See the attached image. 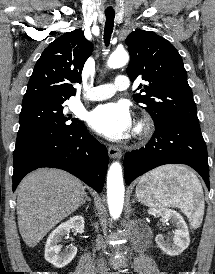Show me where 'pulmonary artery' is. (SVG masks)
Here are the masks:
<instances>
[{
	"instance_id": "obj_1",
	"label": "pulmonary artery",
	"mask_w": 215,
	"mask_h": 274,
	"mask_svg": "<svg viewBox=\"0 0 215 274\" xmlns=\"http://www.w3.org/2000/svg\"><path fill=\"white\" fill-rule=\"evenodd\" d=\"M129 87V79L125 75H118L114 83L103 84L93 87L86 94V99L91 101L105 100L115 94L116 91L125 90Z\"/></svg>"
}]
</instances>
